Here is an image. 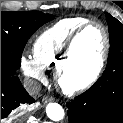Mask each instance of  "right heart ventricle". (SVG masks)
<instances>
[{
    "label": "right heart ventricle",
    "mask_w": 123,
    "mask_h": 123,
    "mask_svg": "<svg viewBox=\"0 0 123 123\" xmlns=\"http://www.w3.org/2000/svg\"><path fill=\"white\" fill-rule=\"evenodd\" d=\"M88 21V18L80 16L66 18L44 30L33 43L34 59L43 69L55 70L72 34Z\"/></svg>",
    "instance_id": "right-heart-ventricle-1"
}]
</instances>
